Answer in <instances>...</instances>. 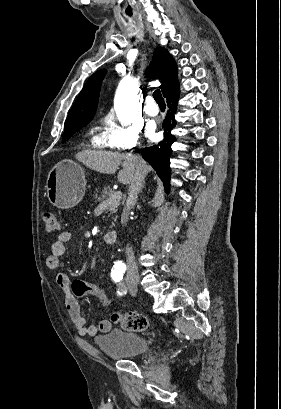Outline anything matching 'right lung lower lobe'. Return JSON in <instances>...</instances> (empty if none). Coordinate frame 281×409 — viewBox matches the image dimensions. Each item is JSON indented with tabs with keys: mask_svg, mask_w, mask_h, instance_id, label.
<instances>
[{
	"mask_svg": "<svg viewBox=\"0 0 281 409\" xmlns=\"http://www.w3.org/2000/svg\"><path fill=\"white\" fill-rule=\"evenodd\" d=\"M179 84L165 96L169 112L163 122L164 140L158 145L144 148L142 150L143 157L152 165L157 171L158 176L164 183L166 191L169 190L170 168L169 157L172 153L171 145L176 138L171 135V130L176 126L174 120V113L176 112L177 102L179 98Z\"/></svg>",
	"mask_w": 281,
	"mask_h": 409,
	"instance_id": "obj_1",
	"label": "right lung lower lobe"
}]
</instances>
